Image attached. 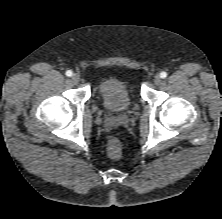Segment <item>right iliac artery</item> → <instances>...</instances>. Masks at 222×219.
Segmentation results:
<instances>
[{"mask_svg":"<svg viewBox=\"0 0 222 219\" xmlns=\"http://www.w3.org/2000/svg\"><path fill=\"white\" fill-rule=\"evenodd\" d=\"M66 75H67L68 77H71V76L73 75V72H72L71 70H67V71H66Z\"/></svg>","mask_w":222,"mask_h":219,"instance_id":"1","label":"right iliac artery"}]
</instances>
